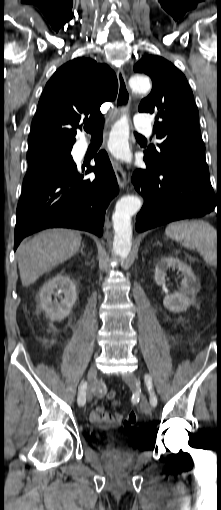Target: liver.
I'll use <instances>...</instances> for the list:
<instances>
[{
    "instance_id": "liver-1",
    "label": "liver",
    "mask_w": 221,
    "mask_h": 510,
    "mask_svg": "<svg viewBox=\"0 0 221 510\" xmlns=\"http://www.w3.org/2000/svg\"><path fill=\"white\" fill-rule=\"evenodd\" d=\"M81 235L68 229H48L23 241L18 248V268L22 285L27 287L41 275L78 252Z\"/></svg>"
}]
</instances>
